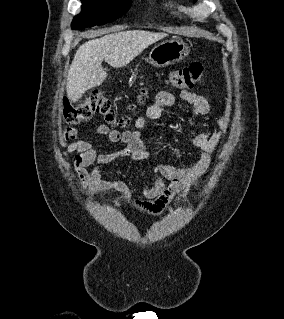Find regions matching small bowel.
I'll use <instances>...</instances> for the list:
<instances>
[{"label":"small bowel","instance_id":"1","mask_svg":"<svg viewBox=\"0 0 284 319\" xmlns=\"http://www.w3.org/2000/svg\"><path fill=\"white\" fill-rule=\"evenodd\" d=\"M180 98L192 106L188 136L192 145L200 150V155L195 162L185 167L166 163L155 166V181L143 183V194L147 198L146 200H133L132 191L126 183L119 179L107 180L102 176L103 168L116 158L144 161L151 157V153L143 142V131L149 120H159L165 109L176 102L174 94L169 91H160L148 109L146 117L136 119L134 130L120 133L106 125L96 127V132L106 136L109 141L124 144L123 148L115 152L98 154L91 143L77 139V129L68 128L64 132L63 139L68 143L65 154L76 153L73 168L78 175L80 186L92 194L113 190L126 204L132 205L139 212L152 216L163 213L175 198V207L187 200L192 191L198 188L208 174L212 163V154L227 131L229 123L226 118H221L218 121L219 130L212 134L195 131L193 120L197 116L209 113V102L205 97L187 90L181 91ZM88 167L91 168L88 169Z\"/></svg>","mask_w":284,"mask_h":319}]
</instances>
